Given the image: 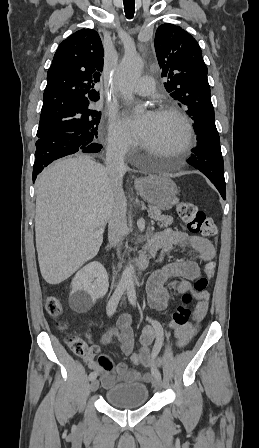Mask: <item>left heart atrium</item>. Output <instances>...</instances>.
<instances>
[{
    "label": "left heart atrium",
    "instance_id": "left-heart-atrium-1",
    "mask_svg": "<svg viewBox=\"0 0 259 448\" xmlns=\"http://www.w3.org/2000/svg\"><path fill=\"white\" fill-rule=\"evenodd\" d=\"M155 115L152 111L147 112L142 117L131 115L126 118V123L137 136H140L153 121Z\"/></svg>",
    "mask_w": 259,
    "mask_h": 448
}]
</instances>
